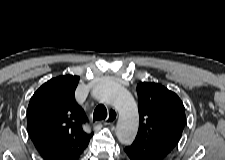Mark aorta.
<instances>
[{
  "instance_id": "1",
  "label": "aorta",
  "mask_w": 225,
  "mask_h": 160,
  "mask_svg": "<svg viewBox=\"0 0 225 160\" xmlns=\"http://www.w3.org/2000/svg\"><path fill=\"white\" fill-rule=\"evenodd\" d=\"M92 96L102 102L113 105L118 113L119 120L116 126V136L120 143L131 144L138 131V111L130 93L118 83L111 80H102L92 89Z\"/></svg>"
}]
</instances>
